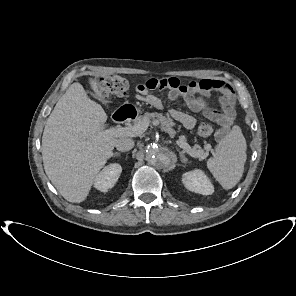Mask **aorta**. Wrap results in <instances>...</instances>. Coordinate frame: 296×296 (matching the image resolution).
I'll return each instance as SVG.
<instances>
[{"label":"aorta","mask_w":296,"mask_h":296,"mask_svg":"<svg viewBox=\"0 0 296 296\" xmlns=\"http://www.w3.org/2000/svg\"><path fill=\"white\" fill-rule=\"evenodd\" d=\"M146 159L156 168H164L171 162L169 151L157 144H150L146 147Z\"/></svg>","instance_id":"aorta-1"}]
</instances>
